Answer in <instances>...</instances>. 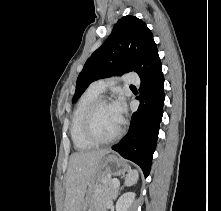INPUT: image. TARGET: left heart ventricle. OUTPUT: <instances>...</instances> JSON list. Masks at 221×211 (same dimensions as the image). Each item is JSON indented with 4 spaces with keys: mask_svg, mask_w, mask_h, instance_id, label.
I'll return each instance as SVG.
<instances>
[{
    "mask_svg": "<svg viewBox=\"0 0 221 211\" xmlns=\"http://www.w3.org/2000/svg\"><path fill=\"white\" fill-rule=\"evenodd\" d=\"M121 122L111 104H103L94 115L93 130L99 138H109L119 130Z\"/></svg>",
    "mask_w": 221,
    "mask_h": 211,
    "instance_id": "left-heart-ventricle-1",
    "label": "left heart ventricle"
}]
</instances>
